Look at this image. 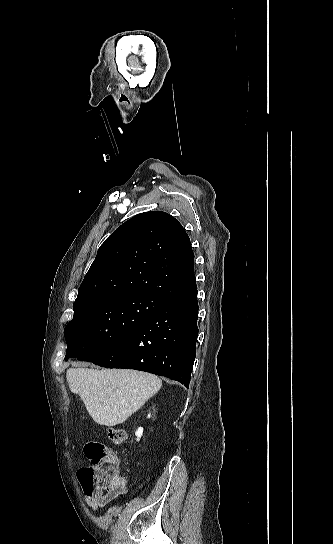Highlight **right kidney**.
Instances as JSON below:
<instances>
[{"label": "right kidney", "mask_w": 333, "mask_h": 544, "mask_svg": "<svg viewBox=\"0 0 333 544\" xmlns=\"http://www.w3.org/2000/svg\"><path fill=\"white\" fill-rule=\"evenodd\" d=\"M150 416H151V415L148 414L147 417L150 418ZM142 434H143V428H142V427H139V428L136 430V432H135V435H136V437H137V441L140 440Z\"/></svg>", "instance_id": "right-kidney-1"}]
</instances>
